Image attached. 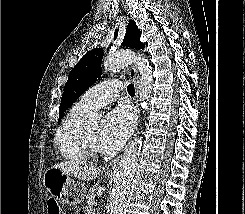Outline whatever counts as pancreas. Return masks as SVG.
<instances>
[{"label":"pancreas","mask_w":245,"mask_h":214,"mask_svg":"<svg viewBox=\"0 0 245 214\" xmlns=\"http://www.w3.org/2000/svg\"><path fill=\"white\" fill-rule=\"evenodd\" d=\"M99 190V186L98 185H92L89 189H88V194L86 196V200L89 204H93L95 202V197L96 194Z\"/></svg>","instance_id":"cf45deb5"}]
</instances>
